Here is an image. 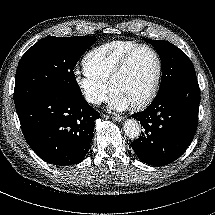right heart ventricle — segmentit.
<instances>
[{"instance_id":"e07e8e85","label":"right heart ventricle","mask_w":215,"mask_h":215,"mask_svg":"<svg viewBox=\"0 0 215 215\" xmlns=\"http://www.w3.org/2000/svg\"><path fill=\"white\" fill-rule=\"evenodd\" d=\"M136 44L132 40H113L93 48L82 60L84 71L108 84L119 59Z\"/></svg>"}]
</instances>
